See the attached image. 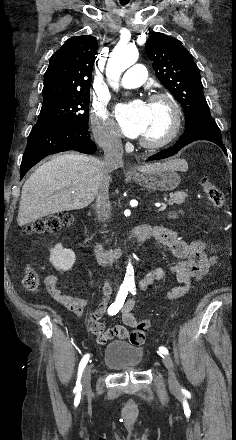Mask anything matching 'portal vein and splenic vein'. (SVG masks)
I'll use <instances>...</instances> for the list:
<instances>
[{"instance_id": "18ae733b", "label": "portal vein and splenic vein", "mask_w": 236, "mask_h": 440, "mask_svg": "<svg viewBox=\"0 0 236 440\" xmlns=\"http://www.w3.org/2000/svg\"><path fill=\"white\" fill-rule=\"evenodd\" d=\"M167 205L163 204L159 207L158 211H164L166 209Z\"/></svg>"}]
</instances>
